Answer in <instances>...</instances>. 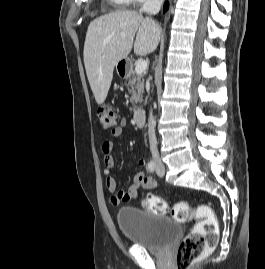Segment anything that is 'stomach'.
Segmentation results:
<instances>
[{
    "label": "stomach",
    "mask_w": 265,
    "mask_h": 269,
    "mask_svg": "<svg viewBox=\"0 0 265 269\" xmlns=\"http://www.w3.org/2000/svg\"><path fill=\"white\" fill-rule=\"evenodd\" d=\"M130 66V61L129 59H122L120 61H118V63L116 64V68L118 71L119 75H124L125 74V70Z\"/></svg>",
    "instance_id": "0dacf381"
}]
</instances>
